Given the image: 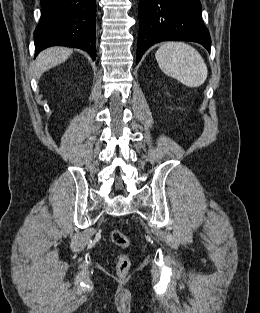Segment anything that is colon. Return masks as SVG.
Instances as JSON below:
<instances>
[{
	"mask_svg": "<svg viewBox=\"0 0 260 313\" xmlns=\"http://www.w3.org/2000/svg\"><path fill=\"white\" fill-rule=\"evenodd\" d=\"M112 241L120 246V247H127L129 245L128 237L120 230L115 229L111 234ZM131 267V260L128 255L126 254H119L117 256L116 262V273L120 277H125L129 272Z\"/></svg>",
	"mask_w": 260,
	"mask_h": 313,
	"instance_id": "5ec220e1",
	"label": "colon"
}]
</instances>
